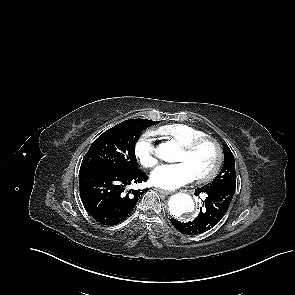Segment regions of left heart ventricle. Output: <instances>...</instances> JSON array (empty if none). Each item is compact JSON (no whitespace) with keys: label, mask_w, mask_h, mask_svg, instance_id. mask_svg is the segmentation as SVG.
Segmentation results:
<instances>
[{"label":"left heart ventricle","mask_w":295,"mask_h":295,"mask_svg":"<svg viewBox=\"0 0 295 295\" xmlns=\"http://www.w3.org/2000/svg\"><path fill=\"white\" fill-rule=\"evenodd\" d=\"M177 161L187 163L197 177L208 173L213 168L216 162V150L211 143H205L191 154L181 150Z\"/></svg>","instance_id":"left-heart-ventricle-1"}]
</instances>
